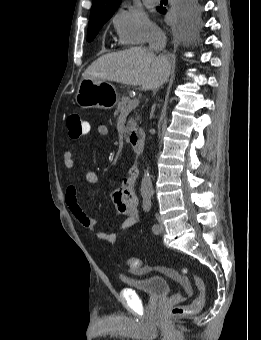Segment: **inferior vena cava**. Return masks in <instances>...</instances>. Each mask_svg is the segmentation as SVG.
<instances>
[{"label":"inferior vena cava","instance_id":"inferior-vena-cava-1","mask_svg":"<svg viewBox=\"0 0 261 340\" xmlns=\"http://www.w3.org/2000/svg\"><path fill=\"white\" fill-rule=\"evenodd\" d=\"M166 41L165 33L159 28H154L149 37V50L156 52L163 51L166 46Z\"/></svg>","mask_w":261,"mask_h":340}]
</instances>
